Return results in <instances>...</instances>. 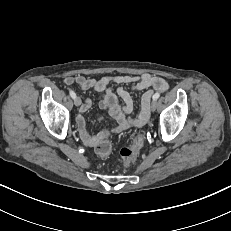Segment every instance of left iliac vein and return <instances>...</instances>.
<instances>
[{"instance_id": "obj_1", "label": "left iliac vein", "mask_w": 231, "mask_h": 231, "mask_svg": "<svg viewBox=\"0 0 231 231\" xmlns=\"http://www.w3.org/2000/svg\"><path fill=\"white\" fill-rule=\"evenodd\" d=\"M156 108H157V101L156 100H152L151 105H150L151 111H155Z\"/></svg>"}]
</instances>
